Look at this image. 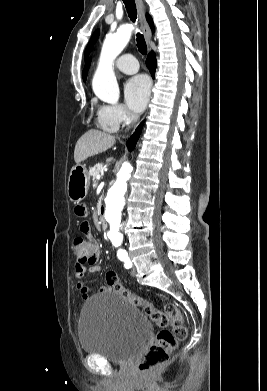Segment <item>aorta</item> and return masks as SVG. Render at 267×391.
Returning <instances> with one entry per match:
<instances>
[{
    "mask_svg": "<svg viewBox=\"0 0 267 391\" xmlns=\"http://www.w3.org/2000/svg\"><path fill=\"white\" fill-rule=\"evenodd\" d=\"M133 31L130 24L120 26L113 34H108L104 40L98 68L93 78V91L104 102L115 104L120 97L118 83L113 71V62L129 42ZM132 167L129 163L122 164L116 175V181L109 189L105 199V219L109 226V238L116 247L123 240L121 234V214L125 203L127 183Z\"/></svg>",
    "mask_w": 267,
    "mask_h": 391,
    "instance_id": "762f6f07",
    "label": "aorta"
}]
</instances>
